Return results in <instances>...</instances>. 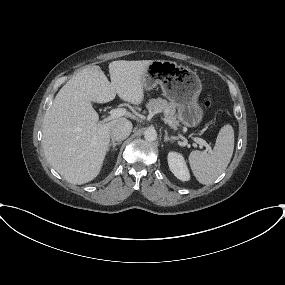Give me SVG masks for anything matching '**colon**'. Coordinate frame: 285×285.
<instances>
[{"label":"colon","instance_id":"obj_1","mask_svg":"<svg viewBox=\"0 0 285 285\" xmlns=\"http://www.w3.org/2000/svg\"><path fill=\"white\" fill-rule=\"evenodd\" d=\"M205 106H206L208 109H211L212 106H213L212 101H207V102L205 103Z\"/></svg>","mask_w":285,"mask_h":285}]
</instances>
